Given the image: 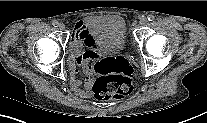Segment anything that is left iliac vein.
Wrapping results in <instances>:
<instances>
[{
  "label": "left iliac vein",
  "instance_id": "1",
  "mask_svg": "<svg viewBox=\"0 0 207 123\" xmlns=\"http://www.w3.org/2000/svg\"><path fill=\"white\" fill-rule=\"evenodd\" d=\"M146 23H147V19L145 17H142L139 21V24L142 26L146 25Z\"/></svg>",
  "mask_w": 207,
  "mask_h": 123
}]
</instances>
